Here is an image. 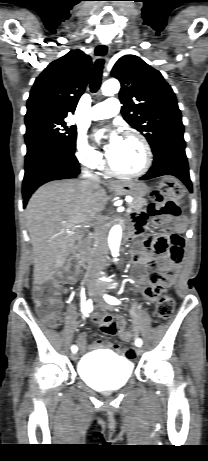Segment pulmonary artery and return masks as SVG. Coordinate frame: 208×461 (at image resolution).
<instances>
[{"mask_svg":"<svg viewBox=\"0 0 208 461\" xmlns=\"http://www.w3.org/2000/svg\"><path fill=\"white\" fill-rule=\"evenodd\" d=\"M120 104L116 98H108L102 103L93 106L89 111L91 120L110 118L119 112Z\"/></svg>","mask_w":208,"mask_h":461,"instance_id":"obj_1","label":"pulmonary artery"}]
</instances>
